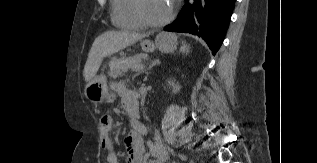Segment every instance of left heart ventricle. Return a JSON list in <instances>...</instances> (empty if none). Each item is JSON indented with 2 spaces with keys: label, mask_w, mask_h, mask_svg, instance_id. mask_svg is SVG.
Returning a JSON list of instances; mask_svg holds the SVG:
<instances>
[{
  "label": "left heart ventricle",
  "mask_w": 317,
  "mask_h": 163,
  "mask_svg": "<svg viewBox=\"0 0 317 163\" xmlns=\"http://www.w3.org/2000/svg\"><path fill=\"white\" fill-rule=\"evenodd\" d=\"M173 0H144V9L152 21H161L166 18L172 8Z\"/></svg>",
  "instance_id": "left-heart-ventricle-1"
}]
</instances>
